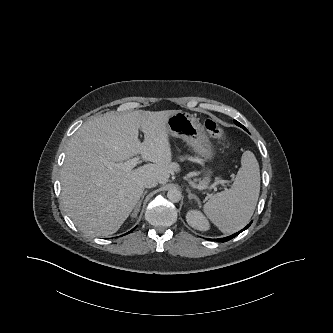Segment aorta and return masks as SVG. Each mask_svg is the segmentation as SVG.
Masks as SVG:
<instances>
[{
	"label": "aorta",
	"instance_id": "1",
	"mask_svg": "<svg viewBox=\"0 0 333 333\" xmlns=\"http://www.w3.org/2000/svg\"><path fill=\"white\" fill-rule=\"evenodd\" d=\"M167 198L171 202H179L181 200V192L178 189H170L167 193Z\"/></svg>",
	"mask_w": 333,
	"mask_h": 333
}]
</instances>
